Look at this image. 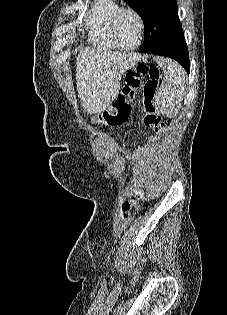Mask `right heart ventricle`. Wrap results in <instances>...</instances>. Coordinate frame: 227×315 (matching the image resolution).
<instances>
[{"label": "right heart ventricle", "mask_w": 227, "mask_h": 315, "mask_svg": "<svg viewBox=\"0 0 227 315\" xmlns=\"http://www.w3.org/2000/svg\"><path fill=\"white\" fill-rule=\"evenodd\" d=\"M121 7L117 0H94L85 15L93 45L103 49H115L109 34L110 22Z\"/></svg>", "instance_id": "obj_1"}]
</instances>
